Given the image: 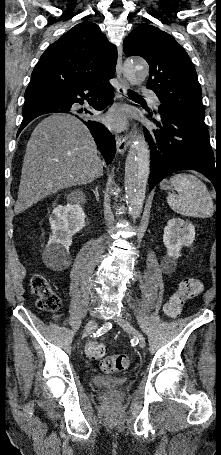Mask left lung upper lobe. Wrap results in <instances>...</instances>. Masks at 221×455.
<instances>
[{"label": "left lung upper lobe", "mask_w": 221, "mask_h": 455, "mask_svg": "<svg viewBox=\"0 0 221 455\" xmlns=\"http://www.w3.org/2000/svg\"><path fill=\"white\" fill-rule=\"evenodd\" d=\"M127 56L139 55L150 67L147 88L161 102L159 111L204 119L202 91L186 51L168 33L148 24L137 26L124 40Z\"/></svg>", "instance_id": "obj_1"}]
</instances>
